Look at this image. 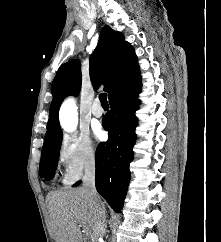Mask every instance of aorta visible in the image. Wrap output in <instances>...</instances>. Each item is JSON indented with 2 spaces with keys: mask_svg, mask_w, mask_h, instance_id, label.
Segmentation results:
<instances>
[{
  "mask_svg": "<svg viewBox=\"0 0 221 242\" xmlns=\"http://www.w3.org/2000/svg\"><path fill=\"white\" fill-rule=\"evenodd\" d=\"M60 124L67 132H72L77 126V106L73 98L66 99L60 108Z\"/></svg>",
  "mask_w": 221,
  "mask_h": 242,
  "instance_id": "obj_1",
  "label": "aorta"
}]
</instances>
